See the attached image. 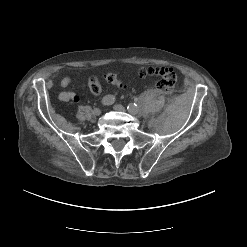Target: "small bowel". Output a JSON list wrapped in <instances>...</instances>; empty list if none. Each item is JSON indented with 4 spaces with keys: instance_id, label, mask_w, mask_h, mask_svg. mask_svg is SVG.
Segmentation results:
<instances>
[{
    "instance_id": "1",
    "label": "small bowel",
    "mask_w": 247,
    "mask_h": 247,
    "mask_svg": "<svg viewBox=\"0 0 247 247\" xmlns=\"http://www.w3.org/2000/svg\"><path fill=\"white\" fill-rule=\"evenodd\" d=\"M71 83L70 77H63L60 81V85L63 89H66ZM59 99L61 101L67 102V101H77L79 98L78 96L70 91H63L59 94Z\"/></svg>"
}]
</instances>
